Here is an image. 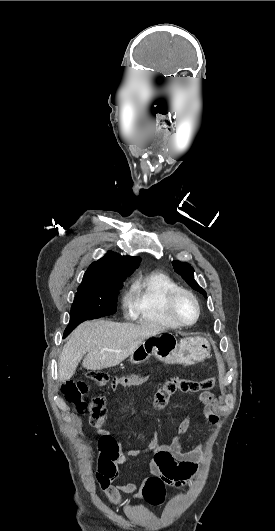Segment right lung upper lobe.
I'll return each instance as SVG.
<instances>
[{
    "mask_svg": "<svg viewBox=\"0 0 275 531\" xmlns=\"http://www.w3.org/2000/svg\"><path fill=\"white\" fill-rule=\"evenodd\" d=\"M140 261L139 257L121 256L118 253L108 251L103 258L89 266L83 281L125 279L139 266Z\"/></svg>",
    "mask_w": 275,
    "mask_h": 531,
    "instance_id": "1",
    "label": "right lung upper lobe"
}]
</instances>
